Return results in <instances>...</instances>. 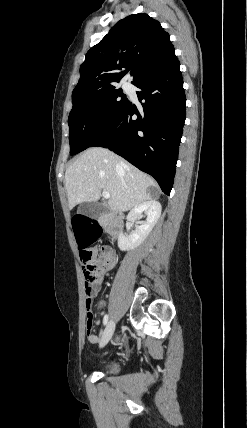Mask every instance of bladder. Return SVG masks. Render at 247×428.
Masks as SVG:
<instances>
[{"mask_svg": "<svg viewBox=\"0 0 247 428\" xmlns=\"http://www.w3.org/2000/svg\"><path fill=\"white\" fill-rule=\"evenodd\" d=\"M102 370L105 373H116L119 370V364L114 359L107 360L103 363Z\"/></svg>", "mask_w": 247, "mask_h": 428, "instance_id": "obj_1", "label": "bladder"}]
</instances>
